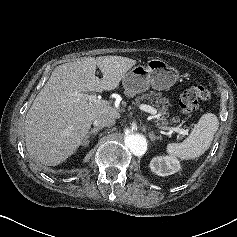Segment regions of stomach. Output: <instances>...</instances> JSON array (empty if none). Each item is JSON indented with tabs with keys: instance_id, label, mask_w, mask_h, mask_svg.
I'll return each instance as SVG.
<instances>
[{
	"instance_id": "1",
	"label": "stomach",
	"mask_w": 237,
	"mask_h": 237,
	"mask_svg": "<svg viewBox=\"0 0 237 237\" xmlns=\"http://www.w3.org/2000/svg\"><path fill=\"white\" fill-rule=\"evenodd\" d=\"M179 73L161 59H150L147 66L138 65L122 78L124 93L132 97L152 86L156 90L170 88L178 79Z\"/></svg>"
}]
</instances>
